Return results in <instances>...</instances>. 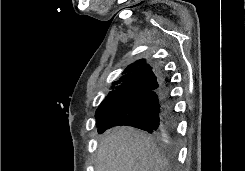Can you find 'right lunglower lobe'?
Segmentation results:
<instances>
[{"label":"right lung lower lobe","mask_w":245,"mask_h":171,"mask_svg":"<svg viewBox=\"0 0 245 171\" xmlns=\"http://www.w3.org/2000/svg\"><path fill=\"white\" fill-rule=\"evenodd\" d=\"M162 86L152 92L119 102L98 126V132L117 126L128 125L153 133L170 144L175 135L174 105L168 84L162 78Z\"/></svg>","instance_id":"right-lung-lower-lobe-1"}]
</instances>
